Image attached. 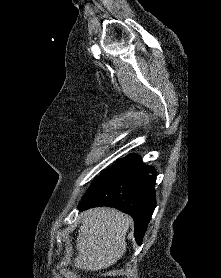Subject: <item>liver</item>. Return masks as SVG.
<instances>
[{
    "label": "liver",
    "mask_w": 221,
    "mask_h": 278,
    "mask_svg": "<svg viewBox=\"0 0 221 278\" xmlns=\"http://www.w3.org/2000/svg\"><path fill=\"white\" fill-rule=\"evenodd\" d=\"M131 224L130 216L113 208L100 207L84 212L74 266L98 271L114 265L126 251L125 236Z\"/></svg>",
    "instance_id": "6515ba94"
}]
</instances>
